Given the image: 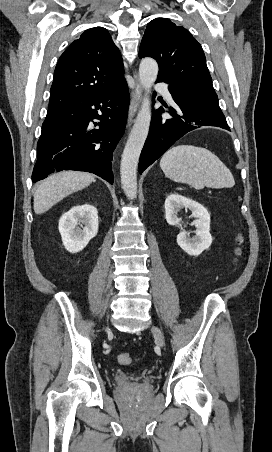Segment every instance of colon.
Listing matches in <instances>:
<instances>
[{
    "mask_svg": "<svg viewBox=\"0 0 272 452\" xmlns=\"http://www.w3.org/2000/svg\"><path fill=\"white\" fill-rule=\"evenodd\" d=\"M240 252L239 250L237 251ZM118 362L122 365H131L134 362V359L131 354L123 353L118 356Z\"/></svg>",
    "mask_w": 272,
    "mask_h": 452,
    "instance_id": "obj_1",
    "label": "colon"
}]
</instances>
